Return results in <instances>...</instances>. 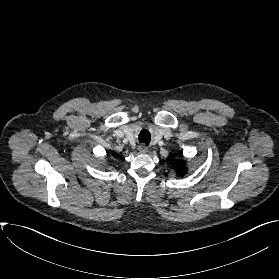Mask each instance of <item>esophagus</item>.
<instances>
[{"label":"esophagus","instance_id":"esophagus-1","mask_svg":"<svg viewBox=\"0 0 279 279\" xmlns=\"http://www.w3.org/2000/svg\"><path fill=\"white\" fill-rule=\"evenodd\" d=\"M139 151L141 153H146L148 151V147L146 145L139 146Z\"/></svg>","mask_w":279,"mask_h":279}]
</instances>
